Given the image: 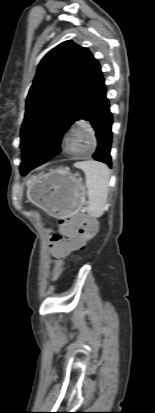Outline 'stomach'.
<instances>
[{
	"mask_svg": "<svg viewBox=\"0 0 155 413\" xmlns=\"http://www.w3.org/2000/svg\"><path fill=\"white\" fill-rule=\"evenodd\" d=\"M84 183L64 168L33 178L27 196L31 202L56 218L79 212L86 203Z\"/></svg>",
	"mask_w": 155,
	"mask_h": 413,
	"instance_id": "obj_1",
	"label": "stomach"
}]
</instances>
